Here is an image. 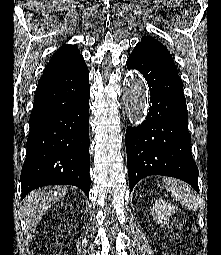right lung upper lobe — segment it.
<instances>
[{
    "mask_svg": "<svg viewBox=\"0 0 221 255\" xmlns=\"http://www.w3.org/2000/svg\"><path fill=\"white\" fill-rule=\"evenodd\" d=\"M81 57L79 50L74 45H64L60 47L52 56L49 63L47 64L44 74L56 71L74 61L76 58Z\"/></svg>",
    "mask_w": 221,
    "mask_h": 255,
    "instance_id": "cb5924a9",
    "label": "right lung upper lobe"
}]
</instances>
